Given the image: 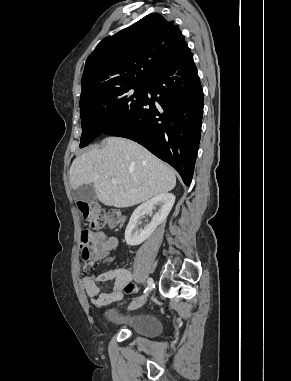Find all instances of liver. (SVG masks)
<instances>
[{"label":"liver","instance_id":"obj_1","mask_svg":"<svg viewBox=\"0 0 291 381\" xmlns=\"http://www.w3.org/2000/svg\"><path fill=\"white\" fill-rule=\"evenodd\" d=\"M104 147L78 156L70 167L72 189L93 184L101 203L127 208L145 202L176 185L174 171L147 149L119 137L104 140ZM117 180V184L112 183Z\"/></svg>","mask_w":291,"mask_h":381}]
</instances>
